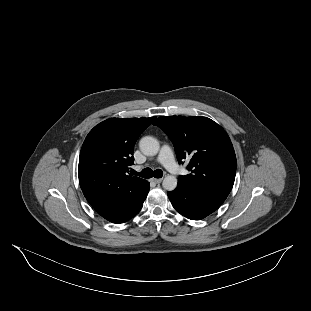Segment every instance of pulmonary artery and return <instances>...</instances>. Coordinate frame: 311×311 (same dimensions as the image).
Segmentation results:
<instances>
[{"label":"pulmonary artery","mask_w":311,"mask_h":311,"mask_svg":"<svg viewBox=\"0 0 311 311\" xmlns=\"http://www.w3.org/2000/svg\"><path fill=\"white\" fill-rule=\"evenodd\" d=\"M156 161L163 165L166 169L169 171H174L175 169V160H174V154L170 146L163 145Z\"/></svg>","instance_id":"obj_1"}]
</instances>
